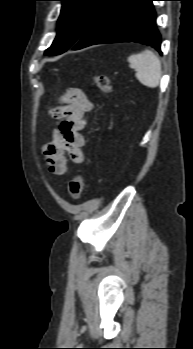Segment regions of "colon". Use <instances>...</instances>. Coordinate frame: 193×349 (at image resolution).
<instances>
[{"label":"colon","instance_id":"colon-1","mask_svg":"<svg viewBox=\"0 0 193 349\" xmlns=\"http://www.w3.org/2000/svg\"><path fill=\"white\" fill-rule=\"evenodd\" d=\"M94 87L102 93H109L111 91V82L108 76L98 74L93 79ZM85 186L84 177L76 175L73 177L68 185V191L73 199H80L83 195Z\"/></svg>","mask_w":193,"mask_h":349}]
</instances>
